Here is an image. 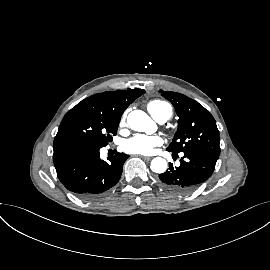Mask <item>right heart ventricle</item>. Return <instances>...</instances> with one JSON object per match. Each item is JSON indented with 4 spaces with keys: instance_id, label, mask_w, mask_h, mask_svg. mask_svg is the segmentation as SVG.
<instances>
[{
    "instance_id": "1",
    "label": "right heart ventricle",
    "mask_w": 270,
    "mask_h": 270,
    "mask_svg": "<svg viewBox=\"0 0 270 270\" xmlns=\"http://www.w3.org/2000/svg\"><path fill=\"white\" fill-rule=\"evenodd\" d=\"M147 109L156 120L160 118H166L168 120L173 113L169 103L158 99L150 101L147 104Z\"/></svg>"
}]
</instances>
